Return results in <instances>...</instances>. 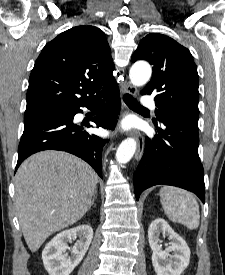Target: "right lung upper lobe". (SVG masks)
<instances>
[{"label": "right lung upper lobe", "mask_w": 225, "mask_h": 275, "mask_svg": "<svg viewBox=\"0 0 225 275\" xmlns=\"http://www.w3.org/2000/svg\"><path fill=\"white\" fill-rule=\"evenodd\" d=\"M103 31L71 28L46 44L29 78L26 114L88 104L117 87ZM96 93V95H94Z\"/></svg>", "instance_id": "obj_1"}]
</instances>
